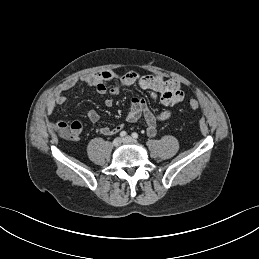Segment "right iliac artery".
<instances>
[{
    "mask_svg": "<svg viewBox=\"0 0 259 259\" xmlns=\"http://www.w3.org/2000/svg\"><path fill=\"white\" fill-rule=\"evenodd\" d=\"M126 134H127V133H126L125 131H122V132L120 133V136H121V137H125Z\"/></svg>",
    "mask_w": 259,
    "mask_h": 259,
    "instance_id": "82829eb1",
    "label": "right iliac artery"
}]
</instances>
